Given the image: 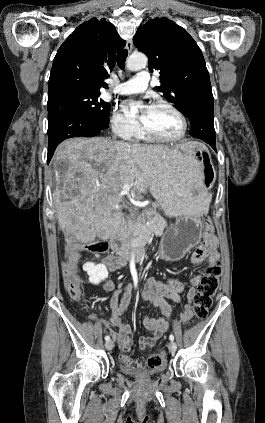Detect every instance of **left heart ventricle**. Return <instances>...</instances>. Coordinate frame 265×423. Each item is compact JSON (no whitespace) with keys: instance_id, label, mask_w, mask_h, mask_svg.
Listing matches in <instances>:
<instances>
[{"instance_id":"b2bd125f","label":"left heart ventricle","mask_w":265,"mask_h":423,"mask_svg":"<svg viewBox=\"0 0 265 423\" xmlns=\"http://www.w3.org/2000/svg\"><path fill=\"white\" fill-rule=\"evenodd\" d=\"M141 121L149 130L164 137H176L182 130L178 116L165 107L145 108Z\"/></svg>"}]
</instances>
